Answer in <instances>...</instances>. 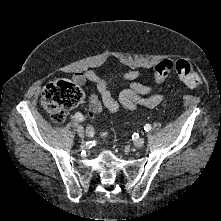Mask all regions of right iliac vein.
<instances>
[{
    "mask_svg": "<svg viewBox=\"0 0 221 221\" xmlns=\"http://www.w3.org/2000/svg\"><path fill=\"white\" fill-rule=\"evenodd\" d=\"M77 133L78 135L81 137V138H84L85 135H84V131H83V127L81 125H78L77 126Z\"/></svg>",
    "mask_w": 221,
    "mask_h": 221,
    "instance_id": "63e3f726",
    "label": "right iliac vein"
}]
</instances>
